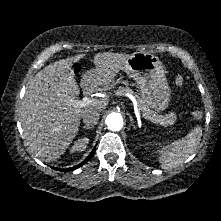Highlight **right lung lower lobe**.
<instances>
[{
	"mask_svg": "<svg viewBox=\"0 0 221 221\" xmlns=\"http://www.w3.org/2000/svg\"><path fill=\"white\" fill-rule=\"evenodd\" d=\"M94 152H95V148L92 150V152L90 153V155L83 161V162H81L80 164H78V165H76V166H74V167H72V168H67V169H58V168H55V167H52L53 169H55V170H58V171H73V170H75V169H77V168H79V167H81V166H83L84 164H86L92 157H93V155H94Z\"/></svg>",
	"mask_w": 221,
	"mask_h": 221,
	"instance_id": "right-lung-lower-lobe-1",
	"label": "right lung lower lobe"
}]
</instances>
